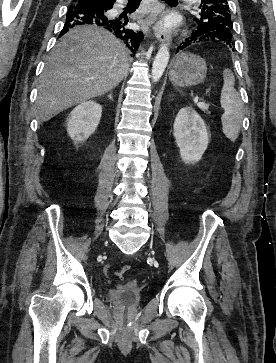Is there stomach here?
Returning a JSON list of instances; mask_svg holds the SVG:
<instances>
[{
    "label": "stomach",
    "instance_id": "1",
    "mask_svg": "<svg viewBox=\"0 0 276 363\" xmlns=\"http://www.w3.org/2000/svg\"><path fill=\"white\" fill-rule=\"evenodd\" d=\"M207 75L206 61L192 53H181L173 61L169 72L171 83L179 87H192L204 81Z\"/></svg>",
    "mask_w": 276,
    "mask_h": 363
}]
</instances>
